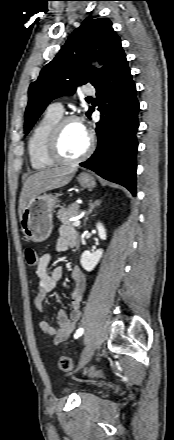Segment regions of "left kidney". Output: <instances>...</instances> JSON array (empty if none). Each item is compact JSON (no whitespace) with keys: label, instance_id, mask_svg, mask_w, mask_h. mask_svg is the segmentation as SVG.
<instances>
[{"label":"left kidney","instance_id":"obj_1","mask_svg":"<svg viewBox=\"0 0 174 440\" xmlns=\"http://www.w3.org/2000/svg\"><path fill=\"white\" fill-rule=\"evenodd\" d=\"M96 228L98 230V235L100 239L106 240L107 234L106 229L102 223H97ZM103 250L98 249L95 252L84 251L81 255L80 263L81 266L88 272L92 271L102 258Z\"/></svg>","mask_w":174,"mask_h":440}]
</instances>
